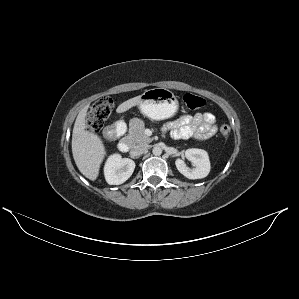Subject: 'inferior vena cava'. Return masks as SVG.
Wrapping results in <instances>:
<instances>
[{"label": "inferior vena cava", "mask_w": 299, "mask_h": 299, "mask_svg": "<svg viewBox=\"0 0 299 299\" xmlns=\"http://www.w3.org/2000/svg\"><path fill=\"white\" fill-rule=\"evenodd\" d=\"M148 148H149V145H147V144H138L132 149L131 154L133 156H140V155L146 153Z\"/></svg>", "instance_id": "obj_1"}]
</instances>
